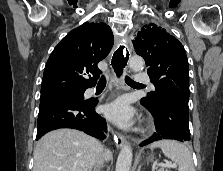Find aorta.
<instances>
[{
  "instance_id": "aorta-1",
  "label": "aorta",
  "mask_w": 223,
  "mask_h": 171,
  "mask_svg": "<svg viewBox=\"0 0 223 171\" xmlns=\"http://www.w3.org/2000/svg\"><path fill=\"white\" fill-rule=\"evenodd\" d=\"M144 61L139 56H133L129 59V67L137 72L143 69ZM132 148L130 144H126L123 146L122 150L118 155V159L116 162V171H130L132 164Z\"/></svg>"
}]
</instances>
